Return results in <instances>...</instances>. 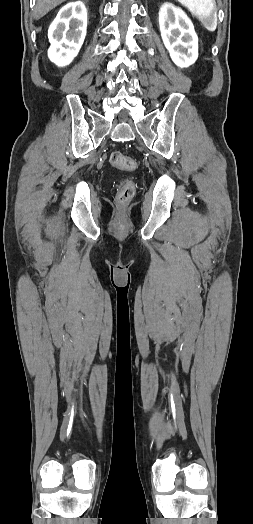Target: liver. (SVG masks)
I'll return each instance as SVG.
<instances>
[{"label": "liver", "instance_id": "6515ba94", "mask_svg": "<svg viewBox=\"0 0 253 524\" xmlns=\"http://www.w3.org/2000/svg\"><path fill=\"white\" fill-rule=\"evenodd\" d=\"M66 0H37L34 10V18L36 20L45 16L49 11L54 9L59 4Z\"/></svg>", "mask_w": 253, "mask_h": 524}]
</instances>
